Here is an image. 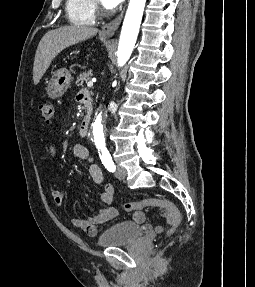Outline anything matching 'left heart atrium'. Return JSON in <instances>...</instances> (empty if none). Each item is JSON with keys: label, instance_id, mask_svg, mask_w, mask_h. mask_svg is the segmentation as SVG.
Masks as SVG:
<instances>
[{"label": "left heart atrium", "instance_id": "1", "mask_svg": "<svg viewBox=\"0 0 255 287\" xmlns=\"http://www.w3.org/2000/svg\"><path fill=\"white\" fill-rule=\"evenodd\" d=\"M110 5H114L118 0H106Z\"/></svg>", "mask_w": 255, "mask_h": 287}]
</instances>
